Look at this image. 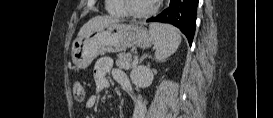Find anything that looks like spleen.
Instances as JSON below:
<instances>
[{
  "instance_id": "3e777b00",
  "label": "spleen",
  "mask_w": 273,
  "mask_h": 118,
  "mask_svg": "<svg viewBox=\"0 0 273 118\" xmlns=\"http://www.w3.org/2000/svg\"><path fill=\"white\" fill-rule=\"evenodd\" d=\"M150 34L154 41L155 57L159 61H164L172 55L181 43L178 30L171 25L151 24Z\"/></svg>"
}]
</instances>
